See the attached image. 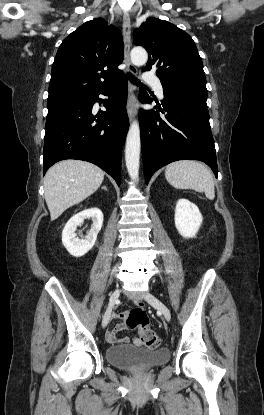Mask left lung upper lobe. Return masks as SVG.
Returning a JSON list of instances; mask_svg holds the SVG:
<instances>
[{
  "mask_svg": "<svg viewBox=\"0 0 264 415\" xmlns=\"http://www.w3.org/2000/svg\"><path fill=\"white\" fill-rule=\"evenodd\" d=\"M149 59L143 71L156 70L163 89H192L207 93L203 63L193 39L176 25L154 17L134 34Z\"/></svg>",
  "mask_w": 264,
  "mask_h": 415,
  "instance_id": "obj_1",
  "label": "left lung upper lobe"
}]
</instances>
